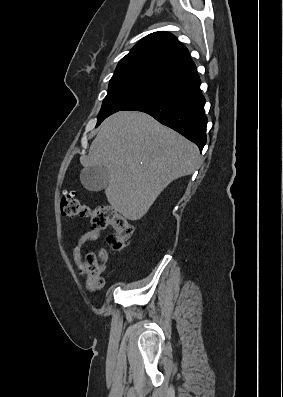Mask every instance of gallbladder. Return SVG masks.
<instances>
[{
  "label": "gallbladder",
  "mask_w": 283,
  "mask_h": 397,
  "mask_svg": "<svg viewBox=\"0 0 283 397\" xmlns=\"http://www.w3.org/2000/svg\"><path fill=\"white\" fill-rule=\"evenodd\" d=\"M80 180L85 189L97 192L107 186L109 174L104 166L86 167L80 173Z\"/></svg>",
  "instance_id": "obj_1"
}]
</instances>
